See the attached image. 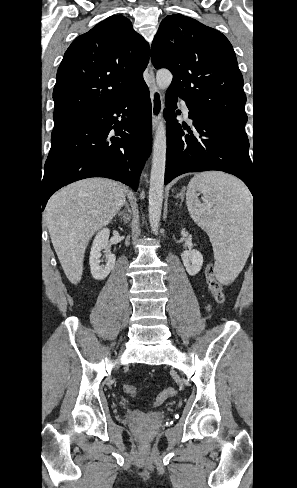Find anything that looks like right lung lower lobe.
Here are the masks:
<instances>
[{
    "label": "right lung lower lobe",
    "instance_id": "98d812e1",
    "mask_svg": "<svg viewBox=\"0 0 297 488\" xmlns=\"http://www.w3.org/2000/svg\"><path fill=\"white\" fill-rule=\"evenodd\" d=\"M151 101L145 81L125 96L52 132L42 180V210L61 187L89 177L121 181L135 191L152 145Z\"/></svg>",
    "mask_w": 297,
    "mask_h": 488
}]
</instances>
